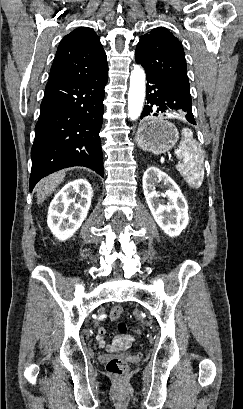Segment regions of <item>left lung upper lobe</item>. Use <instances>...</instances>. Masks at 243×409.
Instances as JSON below:
<instances>
[{"mask_svg":"<svg viewBox=\"0 0 243 409\" xmlns=\"http://www.w3.org/2000/svg\"><path fill=\"white\" fill-rule=\"evenodd\" d=\"M135 59L144 67L146 74L190 89L183 47L166 28L158 27L144 34L137 44Z\"/></svg>","mask_w":243,"mask_h":409,"instance_id":"5c2ea615","label":"left lung upper lobe"}]
</instances>
